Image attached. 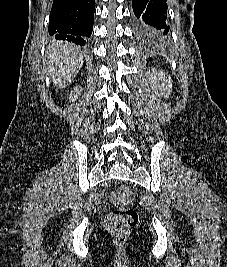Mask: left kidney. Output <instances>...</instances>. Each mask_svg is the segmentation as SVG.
<instances>
[{"instance_id":"left-kidney-1","label":"left kidney","mask_w":227,"mask_h":267,"mask_svg":"<svg viewBox=\"0 0 227 267\" xmlns=\"http://www.w3.org/2000/svg\"><path fill=\"white\" fill-rule=\"evenodd\" d=\"M151 88L159 97L169 98L172 91V80L169 75L156 68L149 69L146 73Z\"/></svg>"}]
</instances>
